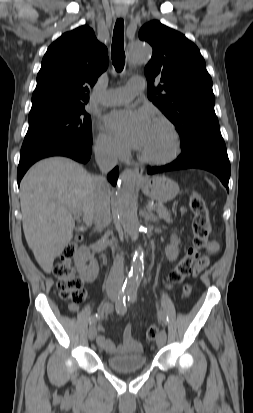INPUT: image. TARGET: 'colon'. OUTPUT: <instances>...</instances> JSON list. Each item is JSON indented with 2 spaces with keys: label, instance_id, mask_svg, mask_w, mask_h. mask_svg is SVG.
Segmentation results:
<instances>
[{
  "label": "colon",
  "instance_id": "colon-1",
  "mask_svg": "<svg viewBox=\"0 0 253 413\" xmlns=\"http://www.w3.org/2000/svg\"><path fill=\"white\" fill-rule=\"evenodd\" d=\"M190 208L193 213V241L185 256L174 266L168 274L169 289L175 288L182 283L191 273L193 265L200 259V254L208 244L210 233V221L208 209L203 195L200 192H193L190 199ZM77 238L65 246L62 251L61 260L54 266L53 273L57 278V288L62 299L74 304L85 299L86 291L83 281L76 275L72 265V259L77 250ZM158 335L155 326L149 327L146 331L147 341H153Z\"/></svg>",
  "mask_w": 253,
  "mask_h": 413
}]
</instances>
